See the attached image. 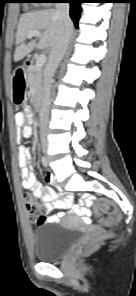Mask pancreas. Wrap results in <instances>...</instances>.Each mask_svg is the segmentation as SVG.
Masks as SVG:
<instances>
[{
	"mask_svg": "<svg viewBox=\"0 0 136 296\" xmlns=\"http://www.w3.org/2000/svg\"><path fill=\"white\" fill-rule=\"evenodd\" d=\"M27 85L34 89L32 98H37L42 91V70H38L36 65L27 68Z\"/></svg>",
	"mask_w": 136,
	"mask_h": 296,
	"instance_id": "1",
	"label": "pancreas"
}]
</instances>
